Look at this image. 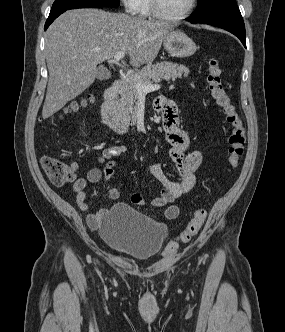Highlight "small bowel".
<instances>
[{
  "mask_svg": "<svg viewBox=\"0 0 285 332\" xmlns=\"http://www.w3.org/2000/svg\"><path fill=\"white\" fill-rule=\"evenodd\" d=\"M154 108L160 112L163 117V129L165 139L170 144L168 156L176 165L180 174L179 181H173L167 177L164 172L162 163L157 162L151 166V174L161 183L162 189L158 196L153 197L149 202L142 199L139 194H133L132 202L139 205L150 204L156 208H165V217L167 219H175L179 215V207L176 200L187 194L193 189L196 183L195 172L202 163V154L199 151H190L191 139L189 135L179 127V118L176 106L173 102L165 98L156 100ZM124 145H113L103 149L99 162L103 168H92L87 172L86 177L77 178L73 183V191L76 193V202L81 211H87L89 204L87 203V193L85 188L88 183H97L102 178L109 184L112 180L115 170V161L113 158L127 152ZM71 167L75 173L79 171V165L76 162L71 163ZM109 196L113 200L120 198L121 194L117 188L109 187ZM104 215V211L98 213H90L87 216V223L92 229L100 226Z\"/></svg>",
  "mask_w": 285,
  "mask_h": 332,
  "instance_id": "obj_1",
  "label": "small bowel"
}]
</instances>
